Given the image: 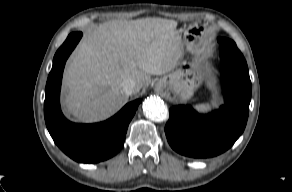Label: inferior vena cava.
Masks as SVG:
<instances>
[{
	"mask_svg": "<svg viewBox=\"0 0 292 192\" xmlns=\"http://www.w3.org/2000/svg\"><path fill=\"white\" fill-rule=\"evenodd\" d=\"M121 86H122L123 92L126 95L133 94L135 91V87H136L134 80L131 78H127V79L123 80Z\"/></svg>",
	"mask_w": 292,
	"mask_h": 192,
	"instance_id": "obj_1",
	"label": "inferior vena cava"
}]
</instances>
